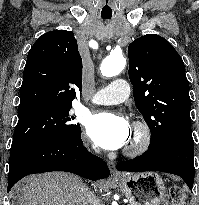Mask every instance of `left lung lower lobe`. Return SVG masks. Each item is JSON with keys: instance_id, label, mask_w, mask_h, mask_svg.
I'll return each instance as SVG.
<instances>
[{"instance_id": "1", "label": "left lung lower lobe", "mask_w": 199, "mask_h": 205, "mask_svg": "<svg viewBox=\"0 0 199 205\" xmlns=\"http://www.w3.org/2000/svg\"><path fill=\"white\" fill-rule=\"evenodd\" d=\"M119 171H161L180 176L192 191L194 182V141L191 134H176L141 156L120 162Z\"/></svg>"}]
</instances>
